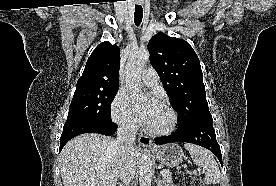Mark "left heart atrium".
I'll list each match as a JSON object with an SVG mask.
<instances>
[{
  "mask_svg": "<svg viewBox=\"0 0 276 186\" xmlns=\"http://www.w3.org/2000/svg\"><path fill=\"white\" fill-rule=\"evenodd\" d=\"M158 106H159V103L155 99H152L143 108L135 109L134 113H135L137 120L142 125L148 127Z\"/></svg>",
  "mask_w": 276,
  "mask_h": 186,
  "instance_id": "obj_1",
  "label": "left heart atrium"
}]
</instances>
